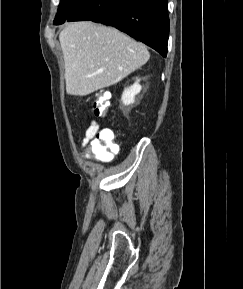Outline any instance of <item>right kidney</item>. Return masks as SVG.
<instances>
[{
    "instance_id": "right-kidney-1",
    "label": "right kidney",
    "mask_w": 243,
    "mask_h": 289,
    "mask_svg": "<svg viewBox=\"0 0 243 289\" xmlns=\"http://www.w3.org/2000/svg\"><path fill=\"white\" fill-rule=\"evenodd\" d=\"M139 79L131 85L130 87L126 88L122 94V102L125 106L133 104L135 101V96L140 93L142 86L139 84Z\"/></svg>"
}]
</instances>
